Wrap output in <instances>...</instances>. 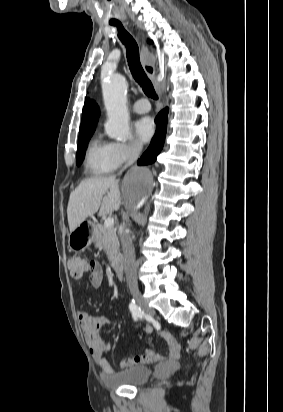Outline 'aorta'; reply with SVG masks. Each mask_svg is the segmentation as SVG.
<instances>
[{
  "label": "aorta",
  "instance_id": "obj_1",
  "mask_svg": "<svg viewBox=\"0 0 283 412\" xmlns=\"http://www.w3.org/2000/svg\"><path fill=\"white\" fill-rule=\"evenodd\" d=\"M127 81L122 75H114L103 81V99L108 115L106 132L109 136L125 140L129 136V114L126 107ZM150 177L146 170H138L127 176L123 190L125 196L138 202L140 207L148 193Z\"/></svg>",
  "mask_w": 283,
  "mask_h": 412
}]
</instances>
